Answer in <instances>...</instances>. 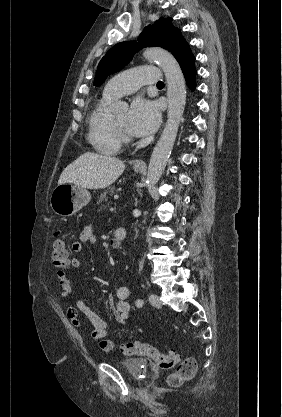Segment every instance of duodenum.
<instances>
[{"instance_id": "duodenum-1", "label": "duodenum", "mask_w": 282, "mask_h": 417, "mask_svg": "<svg viewBox=\"0 0 282 417\" xmlns=\"http://www.w3.org/2000/svg\"><path fill=\"white\" fill-rule=\"evenodd\" d=\"M126 238V231L120 227L116 230L114 235V244L116 247L120 246Z\"/></svg>"}]
</instances>
